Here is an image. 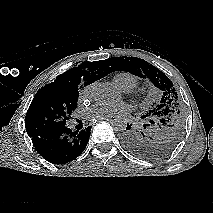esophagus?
<instances>
[{
    "mask_svg": "<svg viewBox=\"0 0 213 213\" xmlns=\"http://www.w3.org/2000/svg\"><path fill=\"white\" fill-rule=\"evenodd\" d=\"M99 121H102V120H112V117H108V118H103V119H98Z\"/></svg>",
    "mask_w": 213,
    "mask_h": 213,
    "instance_id": "34e87169",
    "label": "esophagus"
}]
</instances>
